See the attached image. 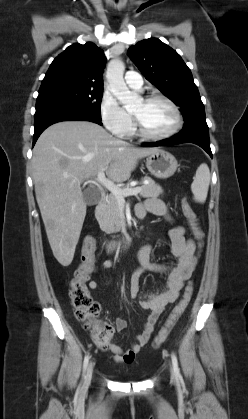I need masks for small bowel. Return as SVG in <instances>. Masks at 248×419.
I'll return each mask as SVG.
<instances>
[{
  "label": "small bowel",
  "mask_w": 248,
  "mask_h": 419,
  "mask_svg": "<svg viewBox=\"0 0 248 419\" xmlns=\"http://www.w3.org/2000/svg\"><path fill=\"white\" fill-rule=\"evenodd\" d=\"M141 207L143 209V216L151 213L164 217L168 221L172 220L165 203L157 198L147 199ZM169 238L170 254L175 259L173 264L153 261L151 258L153 247L149 244L143 245L137 253L139 267L131 275L129 296L132 299L138 300L141 308L150 313L144 324L143 331L136 336V342L127 350L122 349L111 340L105 345H98L99 350L111 352L117 363H133L135 356L150 339L163 309L166 305L177 300L185 281L191 278L195 270L197 264L195 255L196 244L192 239L185 236V228L178 225L173 226L169 231ZM113 265V260H104L99 266H93L91 273L96 272L98 269H110ZM149 272L165 274L167 276L166 284L161 291L142 294L140 281ZM88 286L94 290L98 287V282L96 280H90ZM115 325L118 331H122L126 328L127 323L123 319H116Z\"/></svg>",
  "instance_id": "obj_1"
}]
</instances>
